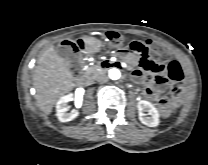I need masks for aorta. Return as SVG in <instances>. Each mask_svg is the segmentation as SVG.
<instances>
[{
  "label": "aorta",
  "mask_w": 208,
  "mask_h": 165,
  "mask_svg": "<svg viewBox=\"0 0 208 165\" xmlns=\"http://www.w3.org/2000/svg\"><path fill=\"white\" fill-rule=\"evenodd\" d=\"M109 78L112 80H118L121 77L119 69L112 68L108 71Z\"/></svg>",
  "instance_id": "762f6f07"
}]
</instances>
